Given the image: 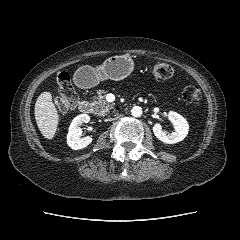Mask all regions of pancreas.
I'll return each instance as SVG.
<instances>
[{"label":"pancreas","instance_id":"cf45deb5","mask_svg":"<svg viewBox=\"0 0 240 240\" xmlns=\"http://www.w3.org/2000/svg\"><path fill=\"white\" fill-rule=\"evenodd\" d=\"M104 93H105L104 90H99L98 96L94 97L92 103L96 114H98L99 116L105 115L107 112L114 108V103L112 104L107 103L103 95Z\"/></svg>","mask_w":240,"mask_h":240}]
</instances>
